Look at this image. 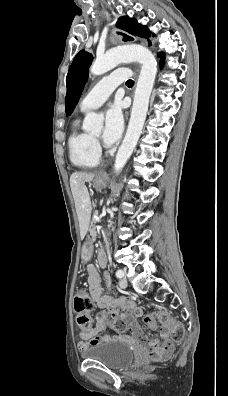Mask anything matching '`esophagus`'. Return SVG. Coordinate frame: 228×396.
<instances>
[{
	"label": "esophagus",
	"instance_id": "34e87169",
	"mask_svg": "<svg viewBox=\"0 0 228 396\" xmlns=\"http://www.w3.org/2000/svg\"><path fill=\"white\" fill-rule=\"evenodd\" d=\"M104 17L107 19V21H111V15L108 11H103ZM100 174H106L104 171H101Z\"/></svg>",
	"mask_w": 228,
	"mask_h": 396
}]
</instances>
